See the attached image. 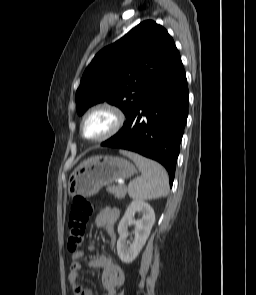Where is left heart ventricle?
Listing matches in <instances>:
<instances>
[{"label": "left heart ventricle", "mask_w": 256, "mask_h": 295, "mask_svg": "<svg viewBox=\"0 0 256 295\" xmlns=\"http://www.w3.org/2000/svg\"><path fill=\"white\" fill-rule=\"evenodd\" d=\"M112 116L106 111H97L90 115L84 125V134L93 139L104 135L112 126Z\"/></svg>", "instance_id": "b2bd125f"}]
</instances>
